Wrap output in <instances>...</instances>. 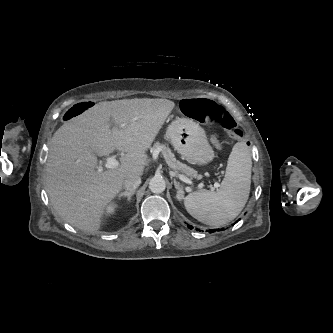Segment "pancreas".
Instances as JSON below:
<instances>
[{
    "label": "pancreas",
    "instance_id": "obj_1",
    "mask_svg": "<svg viewBox=\"0 0 333 333\" xmlns=\"http://www.w3.org/2000/svg\"><path fill=\"white\" fill-rule=\"evenodd\" d=\"M161 152L163 155V158L166 161V164L169 166L170 169H172L177 174H185L187 177L198 179L199 174L196 170L193 168L187 166L186 164H183L176 160L174 154L171 152V150L164 144H161L159 142H156L153 147L151 148V152Z\"/></svg>",
    "mask_w": 333,
    "mask_h": 333
}]
</instances>
